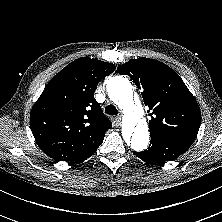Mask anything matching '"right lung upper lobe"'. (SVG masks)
Returning a JSON list of instances; mask_svg holds the SVG:
<instances>
[{
	"mask_svg": "<svg viewBox=\"0 0 222 222\" xmlns=\"http://www.w3.org/2000/svg\"><path fill=\"white\" fill-rule=\"evenodd\" d=\"M115 65L79 58L57 73L34 104V138L51 158L78 163L93 155L112 127L93 94Z\"/></svg>",
	"mask_w": 222,
	"mask_h": 222,
	"instance_id": "obj_1",
	"label": "right lung upper lobe"
}]
</instances>
